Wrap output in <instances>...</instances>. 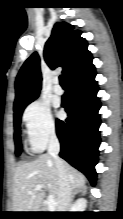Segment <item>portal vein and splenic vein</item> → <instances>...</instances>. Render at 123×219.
Returning <instances> with one entry per match:
<instances>
[{"instance_id": "obj_1", "label": "portal vein and splenic vein", "mask_w": 123, "mask_h": 219, "mask_svg": "<svg viewBox=\"0 0 123 219\" xmlns=\"http://www.w3.org/2000/svg\"><path fill=\"white\" fill-rule=\"evenodd\" d=\"M43 187H44L43 185L39 184L35 187L34 190L28 191V194H33L34 192L41 190ZM47 206L50 212L54 211L56 207V201L52 195H49L47 198Z\"/></svg>"}]
</instances>
